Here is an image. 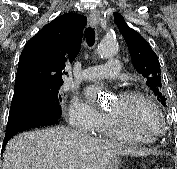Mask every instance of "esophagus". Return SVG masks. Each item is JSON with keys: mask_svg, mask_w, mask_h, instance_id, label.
Segmentation results:
<instances>
[{"mask_svg": "<svg viewBox=\"0 0 177 169\" xmlns=\"http://www.w3.org/2000/svg\"><path fill=\"white\" fill-rule=\"evenodd\" d=\"M100 21V14L97 10H93L88 18V24L91 27H96Z\"/></svg>", "mask_w": 177, "mask_h": 169, "instance_id": "esophagus-1", "label": "esophagus"}]
</instances>
